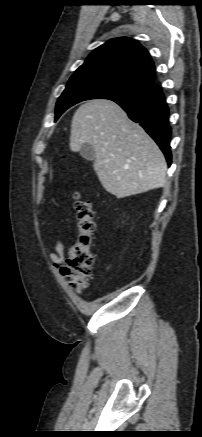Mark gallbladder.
<instances>
[{"label": "gallbladder", "instance_id": "obj_1", "mask_svg": "<svg viewBox=\"0 0 202 437\" xmlns=\"http://www.w3.org/2000/svg\"><path fill=\"white\" fill-rule=\"evenodd\" d=\"M80 155L84 159L89 160V161H94L95 157H96V153H95L94 148L88 143H85L81 146Z\"/></svg>", "mask_w": 202, "mask_h": 437}]
</instances>
